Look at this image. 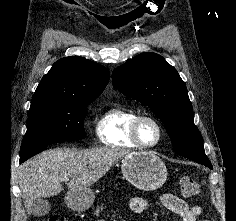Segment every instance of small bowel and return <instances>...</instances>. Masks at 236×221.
<instances>
[{"label":"small bowel","mask_w":236,"mask_h":221,"mask_svg":"<svg viewBox=\"0 0 236 221\" xmlns=\"http://www.w3.org/2000/svg\"><path fill=\"white\" fill-rule=\"evenodd\" d=\"M161 204L168 211L176 214L180 221H196L202 213V209L199 205H189L185 200L174 194L163 195ZM147 207L148 201L143 197H133L129 201V208L135 214L142 213Z\"/></svg>","instance_id":"1"}]
</instances>
